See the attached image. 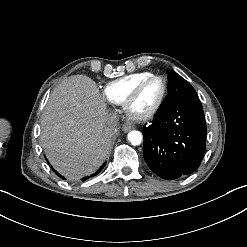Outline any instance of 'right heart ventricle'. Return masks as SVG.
Listing matches in <instances>:
<instances>
[{
  "label": "right heart ventricle",
  "instance_id": "e07e8e85",
  "mask_svg": "<svg viewBox=\"0 0 247 247\" xmlns=\"http://www.w3.org/2000/svg\"><path fill=\"white\" fill-rule=\"evenodd\" d=\"M149 75H152V73L142 72L131 74L108 83L106 86L105 98L112 103L121 104L125 97L130 93L133 86Z\"/></svg>",
  "mask_w": 247,
  "mask_h": 247
}]
</instances>
